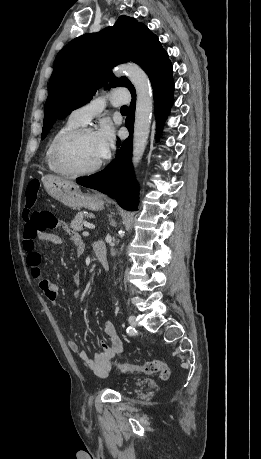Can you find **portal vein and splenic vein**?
<instances>
[{
    "label": "portal vein and splenic vein",
    "mask_w": 261,
    "mask_h": 459,
    "mask_svg": "<svg viewBox=\"0 0 261 459\" xmlns=\"http://www.w3.org/2000/svg\"><path fill=\"white\" fill-rule=\"evenodd\" d=\"M85 227L89 228V229H94L95 226L93 224H90V223H84Z\"/></svg>",
    "instance_id": "obj_1"
}]
</instances>
